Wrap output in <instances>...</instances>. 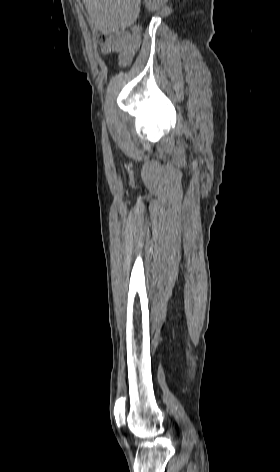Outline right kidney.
Here are the masks:
<instances>
[{"label": "right kidney", "instance_id": "obj_1", "mask_svg": "<svg viewBox=\"0 0 280 472\" xmlns=\"http://www.w3.org/2000/svg\"><path fill=\"white\" fill-rule=\"evenodd\" d=\"M147 1V7L150 9L153 7V5L151 4V0H145Z\"/></svg>", "mask_w": 280, "mask_h": 472}]
</instances>
